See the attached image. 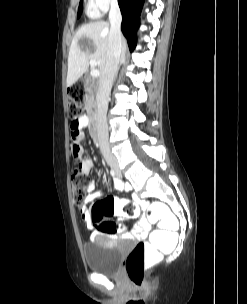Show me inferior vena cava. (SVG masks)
<instances>
[{"instance_id":"602c4592","label":"inferior vena cava","mask_w":247,"mask_h":304,"mask_svg":"<svg viewBox=\"0 0 247 304\" xmlns=\"http://www.w3.org/2000/svg\"><path fill=\"white\" fill-rule=\"evenodd\" d=\"M110 32L106 55V64L99 78V85L96 93L97 111L95 114V128L97 130L98 141L101 152L106 162L113 167H116L117 160L112 154L108 142V125H107V109L108 98L111 87L117 73V68L122 52V36H121V21L122 16L117 3L114 0L111 3L109 12Z\"/></svg>"}]
</instances>
